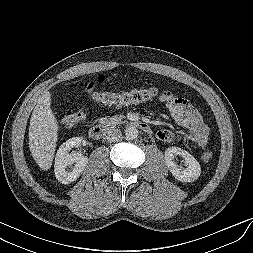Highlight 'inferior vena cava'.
<instances>
[{
	"mask_svg": "<svg viewBox=\"0 0 253 253\" xmlns=\"http://www.w3.org/2000/svg\"><path fill=\"white\" fill-rule=\"evenodd\" d=\"M121 137H122L121 131L115 128H109L104 132V139L108 143L118 141Z\"/></svg>",
	"mask_w": 253,
	"mask_h": 253,
	"instance_id": "1",
	"label": "inferior vena cava"
}]
</instances>
